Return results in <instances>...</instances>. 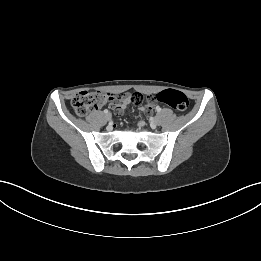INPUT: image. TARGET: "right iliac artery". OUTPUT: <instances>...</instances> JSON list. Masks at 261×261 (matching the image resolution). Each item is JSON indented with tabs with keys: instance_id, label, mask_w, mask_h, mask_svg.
Instances as JSON below:
<instances>
[{
	"instance_id": "82829eb1",
	"label": "right iliac artery",
	"mask_w": 261,
	"mask_h": 261,
	"mask_svg": "<svg viewBox=\"0 0 261 261\" xmlns=\"http://www.w3.org/2000/svg\"><path fill=\"white\" fill-rule=\"evenodd\" d=\"M104 113H106V114H107V113H108V110H107V109H105V110H104Z\"/></svg>"
}]
</instances>
